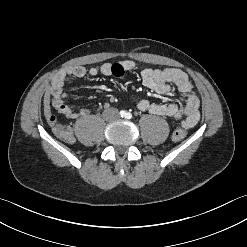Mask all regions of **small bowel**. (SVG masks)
<instances>
[{"label": "small bowel", "mask_w": 247, "mask_h": 247, "mask_svg": "<svg viewBox=\"0 0 247 247\" xmlns=\"http://www.w3.org/2000/svg\"><path fill=\"white\" fill-rule=\"evenodd\" d=\"M115 65H118L124 71V74L137 69L136 64L128 60L118 63H104L89 69L83 66H71L64 69L53 78L51 83L52 106L67 119H75L89 114V109L83 108L79 112H75L66 104L67 94L63 90L65 81L68 77L82 78L87 75H114ZM140 75L143 85L158 94H168L171 91V86H176L178 91L185 97V104L178 106L175 103L161 104L146 100L145 103H137L139 110L180 121L186 128H191L198 123L200 118L199 98L193 92L192 84L184 71L177 68H141Z\"/></svg>", "instance_id": "c3829d8e"}]
</instances>
